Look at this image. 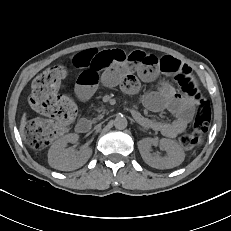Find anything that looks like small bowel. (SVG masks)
I'll return each mask as SVG.
<instances>
[{"label":"small bowel","mask_w":231,"mask_h":231,"mask_svg":"<svg viewBox=\"0 0 231 231\" xmlns=\"http://www.w3.org/2000/svg\"><path fill=\"white\" fill-rule=\"evenodd\" d=\"M143 54L142 61L127 60L126 52L119 49L98 51L88 50L74 58V65L82 69L75 87L77 97L88 100L99 85L119 86L124 92L135 93L139 89V80L150 82L160 74L189 80L194 93L179 94L169 84H162L157 91L144 96L145 106L154 112L168 110L174 116L172 121L149 119L136 113V119L144 126L160 131L167 137H175L183 132L198 112L203 99L201 90L189 66L173 57L157 58ZM138 75V77L136 76Z\"/></svg>","instance_id":"small-bowel-1"}]
</instances>
